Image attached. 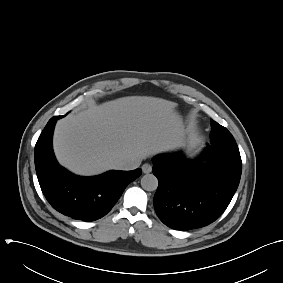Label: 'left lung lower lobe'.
I'll list each match as a JSON object with an SVG mask.
<instances>
[{"instance_id":"1","label":"left lung lower lobe","mask_w":283,"mask_h":283,"mask_svg":"<svg viewBox=\"0 0 283 283\" xmlns=\"http://www.w3.org/2000/svg\"><path fill=\"white\" fill-rule=\"evenodd\" d=\"M206 166L179 154L156 156L153 174L158 178L154 208L172 229L190 230L214 222L225 211L240 182V153L211 145L203 153Z\"/></svg>"}]
</instances>
